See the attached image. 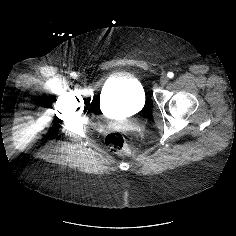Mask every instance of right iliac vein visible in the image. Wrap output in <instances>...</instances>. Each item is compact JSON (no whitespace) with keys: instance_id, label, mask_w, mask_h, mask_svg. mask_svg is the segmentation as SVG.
Returning a JSON list of instances; mask_svg holds the SVG:
<instances>
[{"instance_id":"63e3f726","label":"right iliac vein","mask_w":236,"mask_h":236,"mask_svg":"<svg viewBox=\"0 0 236 236\" xmlns=\"http://www.w3.org/2000/svg\"><path fill=\"white\" fill-rule=\"evenodd\" d=\"M78 80L80 81V82H84V79L82 78V77H78Z\"/></svg>"}]
</instances>
